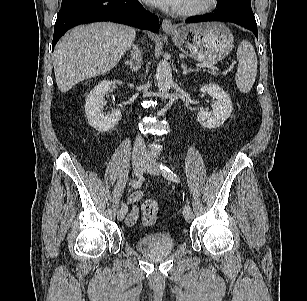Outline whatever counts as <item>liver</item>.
<instances>
[{"label": "liver", "mask_w": 307, "mask_h": 301, "mask_svg": "<svg viewBox=\"0 0 307 301\" xmlns=\"http://www.w3.org/2000/svg\"><path fill=\"white\" fill-rule=\"evenodd\" d=\"M133 28L98 22L73 28L55 46L53 65L58 89L66 93L77 83L110 71L134 42Z\"/></svg>", "instance_id": "liver-1"}]
</instances>
